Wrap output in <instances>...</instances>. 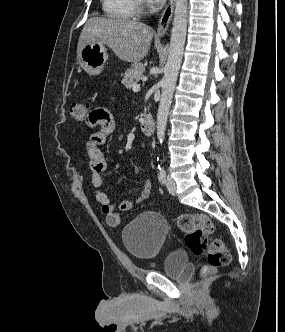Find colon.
Returning <instances> with one entry per match:
<instances>
[{"mask_svg":"<svg viewBox=\"0 0 285 332\" xmlns=\"http://www.w3.org/2000/svg\"><path fill=\"white\" fill-rule=\"evenodd\" d=\"M86 111H92L88 103H73L70 108L72 120L78 124H83L81 115H86ZM177 225L184 234L186 246L193 254L207 253V263L202 268L204 275L213 273L230 262L231 257L226 244L220 239L209 240L214 227L207 215L184 214L178 217Z\"/></svg>","mask_w":285,"mask_h":332,"instance_id":"1","label":"colon"}]
</instances>
